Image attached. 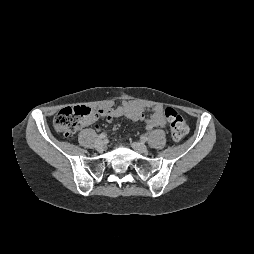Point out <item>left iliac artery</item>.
Masks as SVG:
<instances>
[{"mask_svg": "<svg viewBox=\"0 0 254 254\" xmlns=\"http://www.w3.org/2000/svg\"><path fill=\"white\" fill-rule=\"evenodd\" d=\"M141 140L145 142V141L148 140V138H147V136H142V137H141Z\"/></svg>", "mask_w": 254, "mask_h": 254, "instance_id": "44dca946", "label": "left iliac artery"}]
</instances>
